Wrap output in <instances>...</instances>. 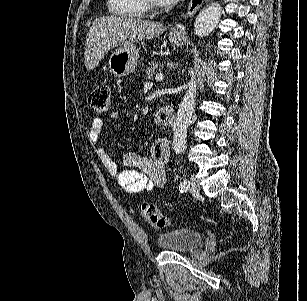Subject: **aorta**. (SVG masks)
<instances>
[{
	"instance_id": "762f6f07",
	"label": "aorta",
	"mask_w": 307,
	"mask_h": 301,
	"mask_svg": "<svg viewBox=\"0 0 307 301\" xmlns=\"http://www.w3.org/2000/svg\"><path fill=\"white\" fill-rule=\"evenodd\" d=\"M221 6L219 2H212L200 10L194 22V32L197 36H207L216 28L221 18ZM186 92L179 104L177 116L172 124L173 148L176 153H183L186 148L188 124L195 110L197 96V80L195 76L186 84Z\"/></svg>"
}]
</instances>
